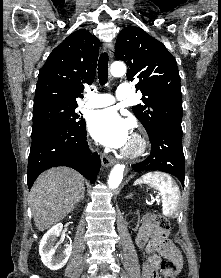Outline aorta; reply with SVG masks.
<instances>
[{
    "mask_svg": "<svg viewBox=\"0 0 221 278\" xmlns=\"http://www.w3.org/2000/svg\"><path fill=\"white\" fill-rule=\"evenodd\" d=\"M110 73L114 77H121L126 73V65L123 62H114L110 67ZM125 166L122 164H117L112 169L109 178L108 186L112 189L117 188L124 175Z\"/></svg>",
    "mask_w": 221,
    "mask_h": 278,
    "instance_id": "aorta-1",
    "label": "aorta"
}]
</instances>
